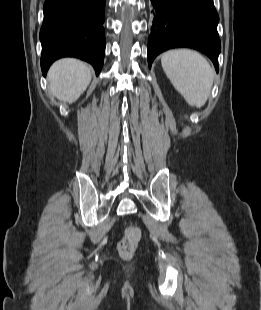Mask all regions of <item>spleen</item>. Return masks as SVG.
Wrapping results in <instances>:
<instances>
[{
  "instance_id": "obj_1",
  "label": "spleen",
  "mask_w": 261,
  "mask_h": 310,
  "mask_svg": "<svg viewBox=\"0 0 261 310\" xmlns=\"http://www.w3.org/2000/svg\"><path fill=\"white\" fill-rule=\"evenodd\" d=\"M161 64L174 88L190 106L201 108L206 103L214 81V70L200 53L167 51L161 56Z\"/></svg>"
}]
</instances>
